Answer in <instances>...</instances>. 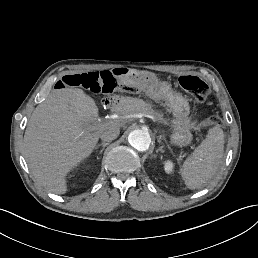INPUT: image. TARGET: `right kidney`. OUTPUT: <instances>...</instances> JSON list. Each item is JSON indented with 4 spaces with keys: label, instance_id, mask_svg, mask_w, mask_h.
Masks as SVG:
<instances>
[{
    "label": "right kidney",
    "instance_id": "obj_1",
    "mask_svg": "<svg viewBox=\"0 0 258 258\" xmlns=\"http://www.w3.org/2000/svg\"><path fill=\"white\" fill-rule=\"evenodd\" d=\"M83 168H84V169H89V165L87 164V165H85Z\"/></svg>",
    "mask_w": 258,
    "mask_h": 258
}]
</instances>
